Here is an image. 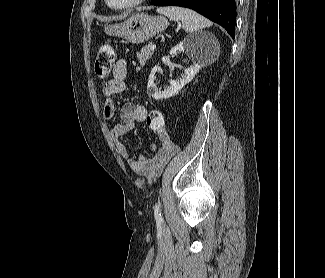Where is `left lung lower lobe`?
I'll return each mask as SVG.
<instances>
[{"label": "left lung lower lobe", "instance_id": "left-lung-lower-lobe-1", "mask_svg": "<svg viewBox=\"0 0 325 278\" xmlns=\"http://www.w3.org/2000/svg\"><path fill=\"white\" fill-rule=\"evenodd\" d=\"M151 4L190 8L223 26L232 38L235 37V0H152Z\"/></svg>", "mask_w": 325, "mask_h": 278}]
</instances>
